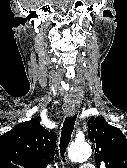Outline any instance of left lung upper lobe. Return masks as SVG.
I'll list each match as a JSON object with an SVG mask.
<instances>
[{
    "mask_svg": "<svg viewBox=\"0 0 127 168\" xmlns=\"http://www.w3.org/2000/svg\"><path fill=\"white\" fill-rule=\"evenodd\" d=\"M88 127V137L95 147L97 167L127 168V139L121 130L101 117H91Z\"/></svg>",
    "mask_w": 127,
    "mask_h": 168,
    "instance_id": "left-lung-upper-lobe-1",
    "label": "left lung upper lobe"
}]
</instances>
